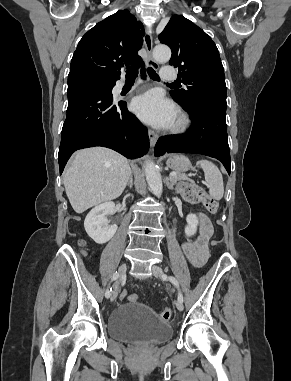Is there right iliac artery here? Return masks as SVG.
I'll use <instances>...</instances> for the list:
<instances>
[{"label":"right iliac artery","mask_w":291,"mask_h":381,"mask_svg":"<svg viewBox=\"0 0 291 381\" xmlns=\"http://www.w3.org/2000/svg\"><path fill=\"white\" fill-rule=\"evenodd\" d=\"M119 278V274L117 273V271L113 274V276H112V281H115V280H117ZM112 291V288H110V290L109 289H107L106 290V293H105V296H106V298H109L110 297V292Z\"/></svg>","instance_id":"right-iliac-artery-1"}]
</instances>
